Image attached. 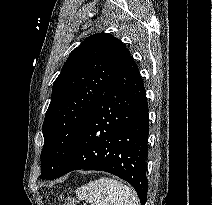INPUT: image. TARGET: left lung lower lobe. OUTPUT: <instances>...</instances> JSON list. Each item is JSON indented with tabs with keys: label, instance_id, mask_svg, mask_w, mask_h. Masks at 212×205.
<instances>
[{
	"label": "left lung lower lobe",
	"instance_id": "1",
	"mask_svg": "<svg viewBox=\"0 0 212 205\" xmlns=\"http://www.w3.org/2000/svg\"><path fill=\"white\" fill-rule=\"evenodd\" d=\"M148 134L146 91L138 66L128 52L90 112L57 177L79 169L109 172L129 182L145 205Z\"/></svg>",
	"mask_w": 212,
	"mask_h": 205
}]
</instances>
